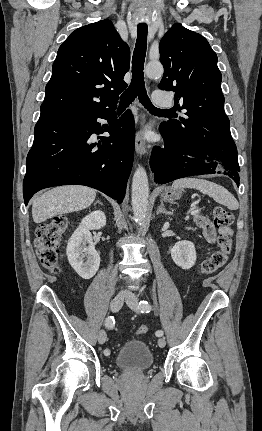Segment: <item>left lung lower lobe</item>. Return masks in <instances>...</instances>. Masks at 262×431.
Here are the masks:
<instances>
[{
	"mask_svg": "<svg viewBox=\"0 0 262 431\" xmlns=\"http://www.w3.org/2000/svg\"><path fill=\"white\" fill-rule=\"evenodd\" d=\"M159 131L165 140L162 148L155 146L150 166L154 181L165 184L173 180L204 174H225L239 186V164L237 148L232 139L225 141L222 149L209 150L192 145L175 143Z\"/></svg>",
	"mask_w": 262,
	"mask_h": 431,
	"instance_id": "obj_1",
	"label": "left lung lower lobe"
}]
</instances>
